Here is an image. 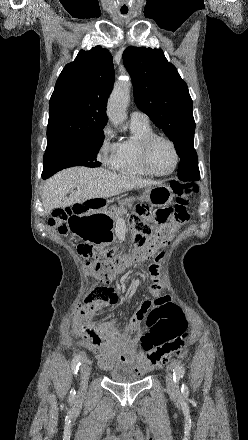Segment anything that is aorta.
Wrapping results in <instances>:
<instances>
[{"instance_id": "aorta-1", "label": "aorta", "mask_w": 248, "mask_h": 440, "mask_svg": "<svg viewBox=\"0 0 248 440\" xmlns=\"http://www.w3.org/2000/svg\"><path fill=\"white\" fill-rule=\"evenodd\" d=\"M131 81L123 77L114 87L107 107V115L113 125L118 126L126 119V107L130 98Z\"/></svg>"}]
</instances>
